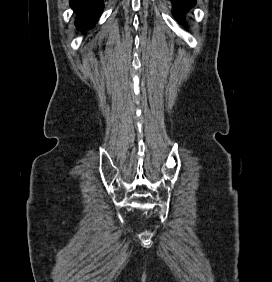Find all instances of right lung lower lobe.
<instances>
[{
  "label": "right lung lower lobe",
  "instance_id": "1",
  "mask_svg": "<svg viewBox=\"0 0 272 282\" xmlns=\"http://www.w3.org/2000/svg\"><path fill=\"white\" fill-rule=\"evenodd\" d=\"M70 5L78 14L75 25L81 31L94 26L104 7L103 0H70Z\"/></svg>",
  "mask_w": 272,
  "mask_h": 282
}]
</instances>
